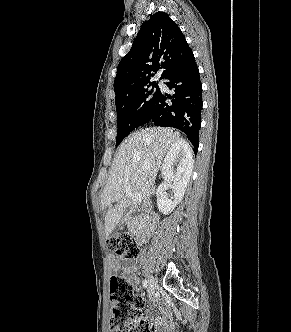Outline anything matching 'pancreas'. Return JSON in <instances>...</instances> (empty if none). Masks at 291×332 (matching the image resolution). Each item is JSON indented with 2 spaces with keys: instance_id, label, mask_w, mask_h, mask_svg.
I'll return each mask as SVG.
<instances>
[{
  "instance_id": "obj_1",
  "label": "pancreas",
  "mask_w": 291,
  "mask_h": 332,
  "mask_svg": "<svg viewBox=\"0 0 291 332\" xmlns=\"http://www.w3.org/2000/svg\"><path fill=\"white\" fill-rule=\"evenodd\" d=\"M128 228H129V230H130L131 232H135V230H136V228H137V224H136V222H135L134 219H133V220H130V221L128 222Z\"/></svg>"
}]
</instances>
